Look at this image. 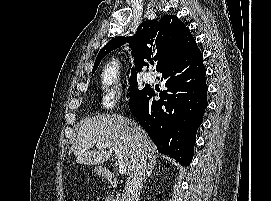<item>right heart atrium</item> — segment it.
<instances>
[{"label":"right heart atrium","mask_w":271,"mask_h":201,"mask_svg":"<svg viewBox=\"0 0 271 201\" xmlns=\"http://www.w3.org/2000/svg\"><path fill=\"white\" fill-rule=\"evenodd\" d=\"M120 103V97L115 91L104 94L100 101V107L105 110H112Z\"/></svg>","instance_id":"right-heart-atrium-1"}]
</instances>
